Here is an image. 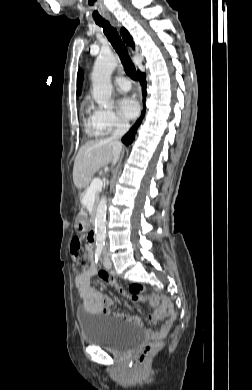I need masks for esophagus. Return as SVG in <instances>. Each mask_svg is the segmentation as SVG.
Returning <instances> with one entry per match:
<instances>
[{
    "label": "esophagus",
    "mask_w": 252,
    "mask_h": 390,
    "mask_svg": "<svg viewBox=\"0 0 252 390\" xmlns=\"http://www.w3.org/2000/svg\"><path fill=\"white\" fill-rule=\"evenodd\" d=\"M108 19H111L110 16H108ZM112 22L115 24L114 20H112ZM127 49H128L129 55L132 56L134 54V51L132 50V48L130 46H127Z\"/></svg>",
    "instance_id": "34e87169"
}]
</instances>
